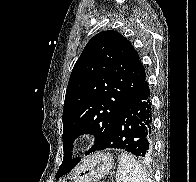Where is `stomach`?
Here are the masks:
<instances>
[{"mask_svg": "<svg viewBox=\"0 0 196 182\" xmlns=\"http://www.w3.org/2000/svg\"><path fill=\"white\" fill-rule=\"evenodd\" d=\"M113 167L110 154L98 152L84 159L73 175V182L97 181L109 174Z\"/></svg>", "mask_w": 196, "mask_h": 182, "instance_id": "stomach-1", "label": "stomach"}]
</instances>
